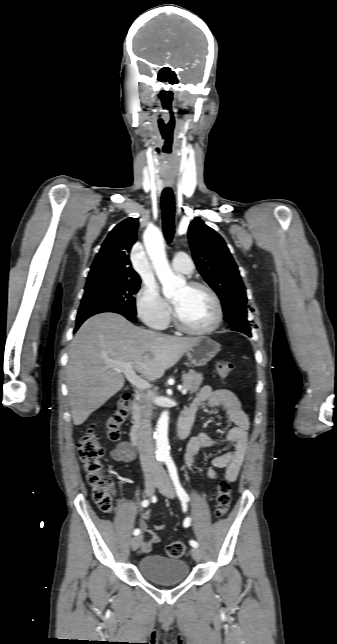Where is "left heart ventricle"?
<instances>
[{"instance_id": "1", "label": "left heart ventricle", "mask_w": 337, "mask_h": 644, "mask_svg": "<svg viewBox=\"0 0 337 644\" xmlns=\"http://www.w3.org/2000/svg\"><path fill=\"white\" fill-rule=\"evenodd\" d=\"M182 322L193 329H204L212 324L216 310L210 294L202 288L182 286L171 298Z\"/></svg>"}]
</instances>
